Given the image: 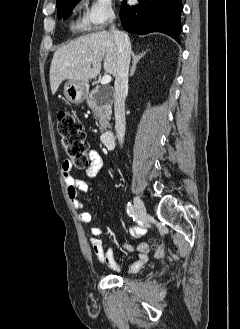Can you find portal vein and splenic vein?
Masks as SVG:
<instances>
[{"mask_svg":"<svg viewBox=\"0 0 240 329\" xmlns=\"http://www.w3.org/2000/svg\"><path fill=\"white\" fill-rule=\"evenodd\" d=\"M111 76L110 75H105V76H103L102 77V79H101V84L102 85H107L108 83H110L111 82Z\"/></svg>","mask_w":240,"mask_h":329,"instance_id":"portal-vein-and-splenic-vein-1","label":"portal vein and splenic vein"}]
</instances>
